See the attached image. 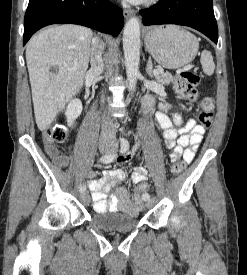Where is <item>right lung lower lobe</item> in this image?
<instances>
[{
    "label": "right lung lower lobe",
    "mask_w": 247,
    "mask_h": 275,
    "mask_svg": "<svg viewBox=\"0 0 247 275\" xmlns=\"http://www.w3.org/2000/svg\"><path fill=\"white\" fill-rule=\"evenodd\" d=\"M67 23L117 36L124 25L123 11L108 0H29L23 45L40 28Z\"/></svg>",
    "instance_id": "right-lung-lower-lobe-1"
}]
</instances>
